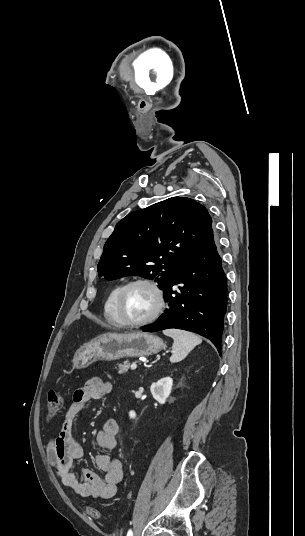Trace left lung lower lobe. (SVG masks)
I'll use <instances>...</instances> for the list:
<instances>
[{
  "label": "left lung lower lobe",
  "instance_id": "0a47b994",
  "mask_svg": "<svg viewBox=\"0 0 305 536\" xmlns=\"http://www.w3.org/2000/svg\"><path fill=\"white\" fill-rule=\"evenodd\" d=\"M213 236L164 288L168 308L145 332L184 329L208 338L221 354L227 307V279ZM181 284L178 291L172 287Z\"/></svg>",
  "mask_w": 305,
  "mask_h": 536
}]
</instances>
